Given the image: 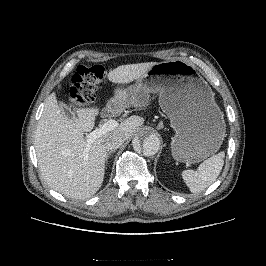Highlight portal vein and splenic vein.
I'll list each match as a JSON object with an SVG mask.
<instances>
[{
    "mask_svg": "<svg viewBox=\"0 0 266 266\" xmlns=\"http://www.w3.org/2000/svg\"><path fill=\"white\" fill-rule=\"evenodd\" d=\"M117 126H118V123H117L116 120L109 119L106 123H104L103 125H101L99 128H96L91 133H89L86 136V139H87V148H86V150H88L90 148V145L97 138H99V137L103 136L104 134H106L107 132L115 129Z\"/></svg>",
    "mask_w": 266,
    "mask_h": 266,
    "instance_id": "portal-vein-and-splenic-vein-1",
    "label": "portal vein and splenic vein"
}]
</instances>
